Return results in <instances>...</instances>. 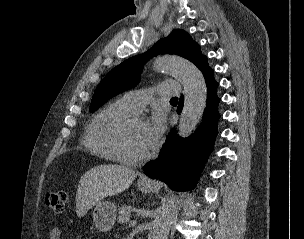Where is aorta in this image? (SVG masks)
I'll list each match as a JSON object with an SVG mask.
<instances>
[{"mask_svg": "<svg viewBox=\"0 0 304 239\" xmlns=\"http://www.w3.org/2000/svg\"><path fill=\"white\" fill-rule=\"evenodd\" d=\"M156 71L177 78L184 87V106L181 112L178 133L189 136L203 114L207 87L203 74L190 61L177 56H161L154 62ZM174 217V203L168 200L159 210L153 224V239H168Z\"/></svg>", "mask_w": 304, "mask_h": 239, "instance_id": "aorta-1", "label": "aorta"}]
</instances>
